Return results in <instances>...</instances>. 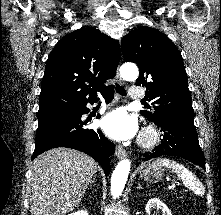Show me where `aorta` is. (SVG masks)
<instances>
[{
	"label": "aorta",
	"mask_w": 221,
	"mask_h": 215,
	"mask_svg": "<svg viewBox=\"0 0 221 215\" xmlns=\"http://www.w3.org/2000/svg\"><path fill=\"white\" fill-rule=\"evenodd\" d=\"M120 74L127 81H134L138 78L139 70L135 64L126 63L120 68ZM131 162L129 159L121 160L115 167L111 177V194L113 198H118L125 187Z\"/></svg>",
	"instance_id": "1"
}]
</instances>
